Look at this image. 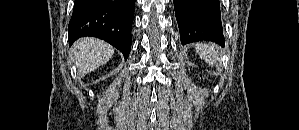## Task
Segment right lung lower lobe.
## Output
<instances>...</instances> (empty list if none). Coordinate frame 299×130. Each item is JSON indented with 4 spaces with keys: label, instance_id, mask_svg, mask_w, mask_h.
<instances>
[{
    "label": "right lung lower lobe",
    "instance_id": "98d812e1",
    "mask_svg": "<svg viewBox=\"0 0 299 130\" xmlns=\"http://www.w3.org/2000/svg\"><path fill=\"white\" fill-rule=\"evenodd\" d=\"M134 5L135 0H75L68 25L69 44L80 37H97L120 50L127 59Z\"/></svg>",
    "mask_w": 299,
    "mask_h": 130
}]
</instances>
